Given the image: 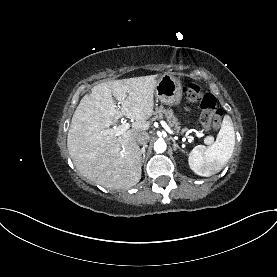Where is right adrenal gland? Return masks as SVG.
<instances>
[{
	"label": "right adrenal gland",
	"instance_id": "2a0ac1e0",
	"mask_svg": "<svg viewBox=\"0 0 277 277\" xmlns=\"http://www.w3.org/2000/svg\"><path fill=\"white\" fill-rule=\"evenodd\" d=\"M147 148V146H143L142 149L140 150V154H141V163H144L145 160V149Z\"/></svg>",
	"mask_w": 277,
	"mask_h": 277
}]
</instances>
